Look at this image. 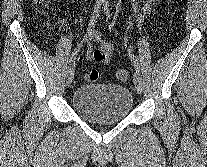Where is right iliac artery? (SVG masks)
Listing matches in <instances>:
<instances>
[{
  "label": "right iliac artery",
  "instance_id": "right-iliac-artery-1",
  "mask_svg": "<svg viewBox=\"0 0 207 167\" xmlns=\"http://www.w3.org/2000/svg\"><path fill=\"white\" fill-rule=\"evenodd\" d=\"M102 4H103V0H98L96 2V5H95L94 10H93L92 17L90 19L89 25H88L87 30H86V34L84 35V38H83L81 44L73 51V53H72V55H71V57L69 59V63L70 64L74 61L76 55L80 51V47H81L82 43L87 40V37H88L89 33L95 27V24H96L97 19L99 17V12L101 10Z\"/></svg>",
  "mask_w": 207,
  "mask_h": 167
}]
</instances>
